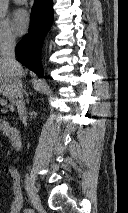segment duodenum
Instances as JSON below:
<instances>
[{
  "label": "duodenum",
  "mask_w": 128,
  "mask_h": 213,
  "mask_svg": "<svg viewBox=\"0 0 128 213\" xmlns=\"http://www.w3.org/2000/svg\"><path fill=\"white\" fill-rule=\"evenodd\" d=\"M8 139L14 149H18L21 145V134L20 131L15 127L7 128Z\"/></svg>",
  "instance_id": "obj_1"
}]
</instances>
